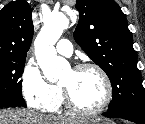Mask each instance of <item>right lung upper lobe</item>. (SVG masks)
<instances>
[{"mask_svg": "<svg viewBox=\"0 0 145 124\" xmlns=\"http://www.w3.org/2000/svg\"><path fill=\"white\" fill-rule=\"evenodd\" d=\"M32 9L16 0L0 11V58H26L33 38Z\"/></svg>", "mask_w": 145, "mask_h": 124, "instance_id": "cb5924a9", "label": "right lung upper lobe"}]
</instances>
